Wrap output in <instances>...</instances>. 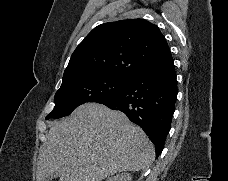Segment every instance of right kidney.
I'll use <instances>...</instances> for the list:
<instances>
[{
    "label": "right kidney",
    "instance_id": "right-kidney-1",
    "mask_svg": "<svg viewBox=\"0 0 228 181\" xmlns=\"http://www.w3.org/2000/svg\"><path fill=\"white\" fill-rule=\"evenodd\" d=\"M109 181H131V175L129 173H120L116 177H110Z\"/></svg>",
    "mask_w": 228,
    "mask_h": 181
}]
</instances>
